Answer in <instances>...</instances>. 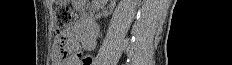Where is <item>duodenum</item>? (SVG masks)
<instances>
[{
  "mask_svg": "<svg viewBox=\"0 0 232 65\" xmlns=\"http://www.w3.org/2000/svg\"><path fill=\"white\" fill-rule=\"evenodd\" d=\"M76 8L81 14V22L88 34L92 37H95L97 34V25L94 21L93 14L90 10L86 1H76Z\"/></svg>",
  "mask_w": 232,
  "mask_h": 65,
  "instance_id": "obj_1",
  "label": "duodenum"
}]
</instances>
